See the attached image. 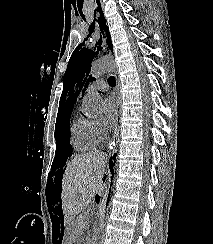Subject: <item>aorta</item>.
I'll list each match as a JSON object with an SVG mask.
<instances>
[{"label":"aorta","instance_id":"obj_1","mask_svg":"<svg viewBox=\"0 0 213 244\" xmlns=\"http://www.w3.org/2000/svg\"><path fill=\"white\" fill-rule=\"evenodd\" d=\"M116 64L113 59L108 57L96 59L90 69V74L94 78H98L108 72L115 70ZM84 112L86 116L96 118L102 115L104 111V102L100 94L94 89H90L84 97ZM106 198L102 200L98 208L100 220L103 219L106 211Z\"/></svg>","mask_w":213,"mask_h":244}]
</instances>
